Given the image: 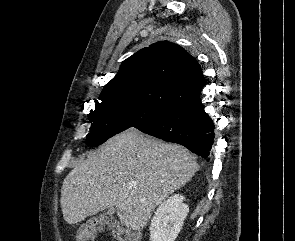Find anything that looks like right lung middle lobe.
Here are the masks:
<instances>
[{"label": "right lung middle lobe", "instance_id": "dd1d6c3e", "mask_svg": "<svg viewBox=\"0 0 295 241\" xmlns=\"http://www.w3.org/2000/svg\"><path fill=\"white\" fill-rule=\"evenodd\" d=\"M99 100L95 110L88 114L92 125L86 138L88 144L93 146L101 145L108 138L128 128H139L164 112L122 98L100 96Z\"/></svg>", "mask_w": 295, "mask_h": 241}]
</instances>
